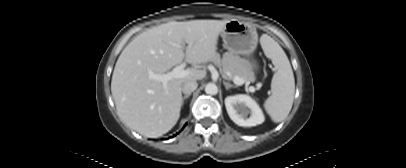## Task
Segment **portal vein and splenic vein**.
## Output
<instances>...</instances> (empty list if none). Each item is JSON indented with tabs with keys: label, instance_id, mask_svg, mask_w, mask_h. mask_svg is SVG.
Wrapping results in <instances>:
<instances>
[{
	"label": "portal vein and splenic vein",
	"instance_id": "obj_1",
	"mask_svg": "<svg viewBox=\"0 0 406 168\" xmlns=\"http://www.w3.org/2000/svg\"><path fill=\"white\" fill-rule=\"evenodd\" d=\"M185 66H186V64L182 63L179 66H176L172 71H170V72H168L166 74H154V73H151L150 78L153 79V80H157V81L162 82L163 86L166 87L168 81H170V80H172L174 78H183V77L189 75L190 71L188 69L185 70L184 69ZM233 82L235 84L239 85V86L243 85L245 83V81L242 78L238 77V76H235L233 78ZM255 90H256L255 87H253V86L249 87L250 92L253 93V92H255Z\"/></svg>",
	"mask_w": 406,
	"mask_h": 168
}]
</instances>
